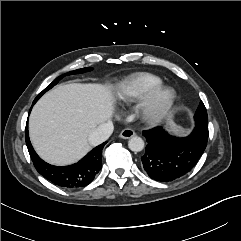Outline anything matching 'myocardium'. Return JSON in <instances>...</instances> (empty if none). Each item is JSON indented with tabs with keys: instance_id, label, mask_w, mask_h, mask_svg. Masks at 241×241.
<instances>
[{
	"instance_id": "myocardium-1",
	"label": "myocardium",
	"mask_w": 241,
	"mask_h": 241,
	"mask_svg": "<svg viewBox=\"0 0 241 241\" xmlns=\"http://www.w3.org/2000/svg\"><path fill=\"white\" fill-rule=\"evenodd\" d=\"M176 100V90L171 86L160 84L142 98L140 114L149 123L158 124L168 117Z\"/></svg>"
}]
</instances>
